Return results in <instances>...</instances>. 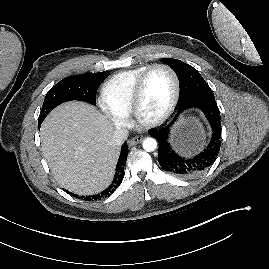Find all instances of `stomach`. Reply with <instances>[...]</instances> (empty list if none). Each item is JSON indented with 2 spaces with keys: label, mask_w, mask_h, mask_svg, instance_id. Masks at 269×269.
Segmentation results:
<instances>
[{
  "label": "stomach",
  "mask_w": 269,
  "mask_h": 269,
  "mask_svg": "<svg viewBox=\"0 0 269 269\" xmlns=\"http://www.w3.org/2000/svg\"><path fill=\"white\" fill-rule=\"evenodd\" d=\"M203 139L202 126L194 117L181 119L172 135V141L184 153L198 149Z\"/></svg>",
  "instance_id": "1"
}]
</instances>
